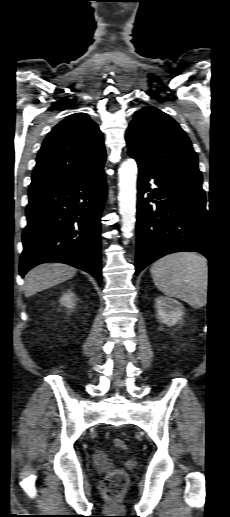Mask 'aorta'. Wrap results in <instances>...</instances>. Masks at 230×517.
<instances>
[{
  "mask_svg": "<svg viewBox=\"0 0 230 517\" xmlns=\"http://www.w3.org/2000/svg\"><path fill=\"white\" fill-rule=\"evenodd\" d=\"M137 164L133 159L124 161L119 168V211L122 217V234L125 239L133 235L136 221Z\"/></svg>",
  "mask_w": 230,
  "mask_h": 517,
  "instance_id": "762f6f07",
  "label": "aorta"
}]
</instances>
